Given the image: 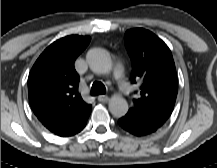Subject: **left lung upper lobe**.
<instances>
[{
    "instance_id": "left-lung-upper-lobe-1",
    "label": "left lung upper lobe",
    "mask_w": 217,
    "mask_h": 168,
    "mask_svg": "<svg viewBox=\"0 0 217 168\" xmlns=\"http://www.w3.org/2000/svg\"><path fill=\"white\" fill-rule=\"evenodd\" d=\"M127 46L133 62L132 83L141 82L140 95L126 115L163 126L174 109L178 85L175 63L168 46L151 31L127 30Z\"/></svg>"
}]
</instances>
